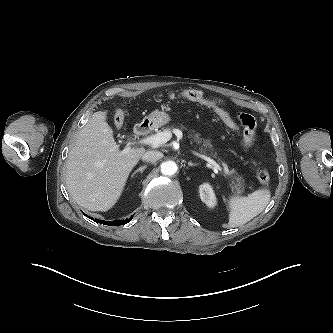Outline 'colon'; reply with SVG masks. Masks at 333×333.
<instances>
[{"instance_id": "colon-1", "label": "colon", "mask_w": 333, "mask_h": 333, "mask_svg": "<svg viewBox=\"0 0 333 333\" xmlns=\"http://www.w3.org/2000/svg\"><path fill=\"white\" fill-rule=\"evenodd\" d=\"M168 97L171 99H188L192 101L203 102L207 106L211 107L217 116L224 122V124L231 130L237 131L238 125L236 122L230 117V115L221 107H218L211 101L207 100L204 94L199 90L188 89L183 90L180 92H170ZM125 118V111L118 110L115 115V124L117 127H121ZM256 177L261 184H267L270 181V174L269 172L264 169L260 168L256 172Z\"/></svg>"}]
</instances>
